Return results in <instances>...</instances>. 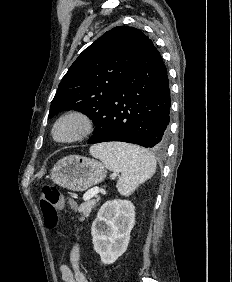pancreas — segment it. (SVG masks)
<instances>
[{
  "label": "pancreas",
  "instance_id": "pancreas-1",
  "mask_svg": "<svg viewBox=\"0 0 232 282\" xmlns=\"http://www.w3.org/2000/svg\"><path fill=\"white\" fill-rule=\"evenodd\" d=\"M97 201L96 200H90L87 202H84L80 205L78 208V211L82 213L85 217H89L91 210L95 207Z\"/></svg>",
  "mask_w": 232,
  "mask_h": 282
}]
</instances>
